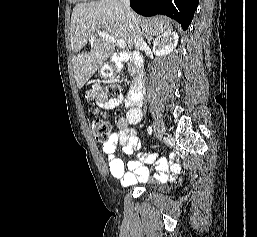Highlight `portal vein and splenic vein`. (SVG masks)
<instances>
[{
    "mask_svg": "<svg viewBox=\"0 0 257 237\" xmlns=\"http://www.w3.org/2000/svg\"><path fill=\"white\" fill-rule=\"evenodd\" d=\"M96 34L101 36L106 41H109V42H112V43H116L117 46L120 49H125L127 47V44L123 40H117V39H115L114 37L110 36L108 33L104 32V31H97ZM90 41L92 43L95 42V35L94 34L91 36Z\"/></svg>",
    "mask_w": 257,
    "mask_h": 237,
    "instance_id": "18ae733b",
    "label": "portal vein and splenic vein"
}]
</instances>
